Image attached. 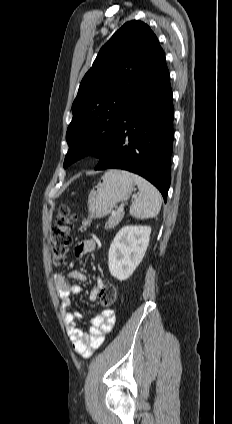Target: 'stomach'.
I'll use <instances>...</instances> for the list:
<instances>
[{"label":"stomach","instance_id":"1","mask_svg":"<svg viewBox=\"0 0 232 424\" xmlns=\"http://www.w3.org/2000/svg\"><path fill=\"white\" fill-rule=\"evenodd\" d=\"M133 188L134 180L128 171H107L89 194V216L83 221V225H87L91 219L107 216L117 203L129 199Z\"/></svg>","mask_w":232,"mask_h":424}]
</instances>
